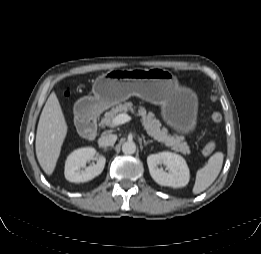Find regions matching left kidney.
<instances>
[{
    "label": "left kidney",
    "mask_w": 261,
    "mask_h": 254,
    "mask_svg": "<svg viewBox=\"0 0 261 254\" xmlns=\"http://www.w3.org/2000/svg\"><path fill=\"white\" fill-rule=\"evenodd\" d=\"M149 172L153 180L161 186L184 187L190 179L189 168L183 157L172 152H160L147 157ZM165 165L166 170L159 168Z\"/></svg>",
    "instance_id": "1"
}]
</instances>
